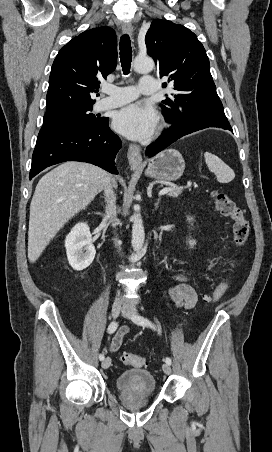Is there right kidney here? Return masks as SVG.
<instances>
[{"instance_id": "ca27d5eb", "label": "right kidney", "mask_w": 272, "mask_h": 452, "mask_svg": "<svg viewBox=\"0 0 272 452\" xmlns=\"http://www.w3.org/2000/svg\"><path fill=\"white\" fill-rule=\"evenodd\" d=\"M65 248L69 264L74 270H84L93 262L96 250L86 223H78L72 228L65 239Z\"/></svg>"}]
</instances>
